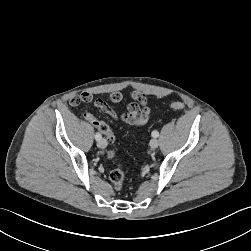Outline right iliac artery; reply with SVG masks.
<instances>
[{
  "instance_id": "obj_1",
  "label": "right iliac artery",
  "mask_w": 251,
  "mask_h": 251,
  "mask_svg": "<svg viewBox=\"0 0 251 251\" xmlns=\"http://www.w3.org/2000/svg\"><path fill=\"white\" fill-rule=\"evenodd\" d=\"M101 138H102L101 134L97 132V133L95 134V139L98 141V140H100Z\"/></svg>"
}]
</instances>
